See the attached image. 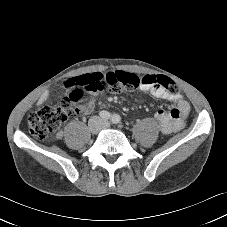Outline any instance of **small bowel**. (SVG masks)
<instances>
[{
  "label": "small bowel",
  "instance_id": "small-bowel-1",
  "mask_svg": "<svg viewBox=\"0 0 227 227\" xmlns=\"http://www.w3.org/2000/svg\"><path fill=\"white\" fill-rule=\"evenodd\" d=\"M63 89H81L85 93L102 94L110 90V83L107 81V74L102 70L87 71L73 78L61 80ZM140 89L149 92L154 98L174 103L169 111L158 110L155 119L158 121L163 134H170L181 130L185 125V118L189 113L190 106L186 99L179 93L172 94L159 85H141ZM94 108V100L90 99L83 106L80 114L88 115Z\"/></svg>",
  "mask_w": 227,
  "mask_h": 227
}]
</instances>
